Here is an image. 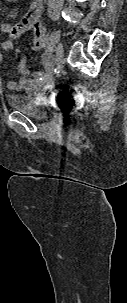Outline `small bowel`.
Instances as JSON below:
<instances>
[{"label":"small bowel","instance_id":"1","mask_svg":"<svg viewBox=\"0 0 127 303\" xmlns=\"http://www.w3.org/2000/svg\"><path fill=\"white\" fill-rule=\"evenodd\" d=\"M16 2L17 0H8ZM43 6L41 0H32L23 18L16 24L3 23L0 25V40L4 35L17 37L20 34L33 31V47L35 50H44L41 56L42 71L31 73L27 64V58L23 57L18 65V80H8L7 88L11 91H31L36 85H48L51 83V75L54 71L53 56L47 48L45 28L40 24V17ZM2 49L10 50L13 47L12 41H4ZM3 60L0 52V64Z\"/></svg>","mask_w":127,"mask_h":303}]
</instances>
